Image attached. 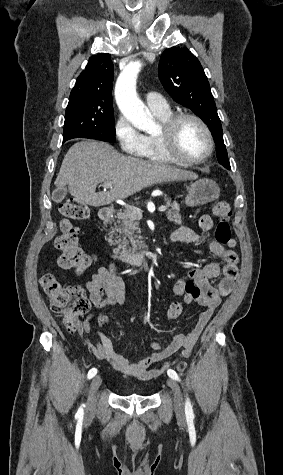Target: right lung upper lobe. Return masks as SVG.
I'll use <instances>...</instances> for the list:
<instances>
[{"mask_svg": "<svg viewBox=\"0 0 283 475\" xmlns=\"http://www.w3.org/2000/svg\"><path fill=\"white\" fill-rule=\"evenodd\" d=\"M110 57L107 53L90 57L86 69L77 78L69 100L112 104L113 63Z\"/></svg>", "mask_w": 283, "mask_h": 475, "instance_id": "obj_1", "label": "right lung upper lobe"}]
</instances>
